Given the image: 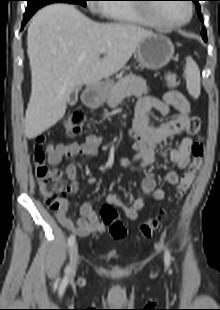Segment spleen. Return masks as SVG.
<instances>
[{
	"mask_svg": "<svg viewBox=\"0 0 220 310\" xmlns=\"http://www.w3.org/2000/svg\"><path fill=\"white\" fill-rule=\"evenodd\" d=\"M186 86L191 96L198 98L200 95V71L194 60L189 57L187 59L186 70Z\"/></svg>",
	"mask_w": 220,
	"mask_h": 310,
	"instance_id": "obj_1",
	"label": "spleen"
}]
</instances>
